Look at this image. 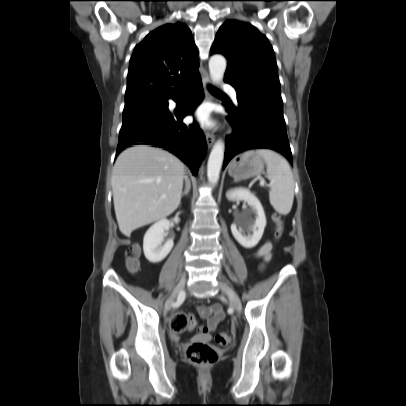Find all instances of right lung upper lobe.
I'll list each match as a JSON object with an SVG mask.
<instances>
[{"label": "right lung upper lobe", "mask_w": 406, "mask_h": 406, "mask_svg": "<svg viewBox=\"0 0 406 406\" xmlns=\"http://www.w3.org/2000/svg\"><path fill=\"white\" fill-rule=\"evenodd\" d=\"M197 48L183 23L150 32L131 56L125 106L151 99H168L199 77Z\"/></svg>", "instance_id": "obj_1"}]
</instances>
